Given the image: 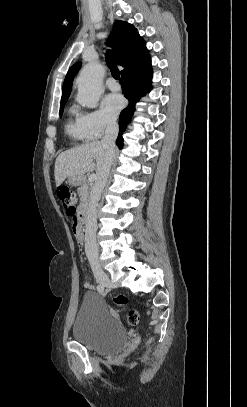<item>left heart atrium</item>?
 Listing matches in <instances>:
<instances>
[{"mask_svg":"<svg viewBox=\"0 0 247 407\" xmlns=\"http://www.w3.org/2000/svg\"><path fill=\"white\" fill-rule=\"evenodd\" d=\"M124 106L123 98L118 94H109L103 99V107L107 115L115 118Z\"/></svg>","mask_w":247,"mask_h":407,"instance_id":"39dd6f15","label":"left heart atrium"}]
</instances>
